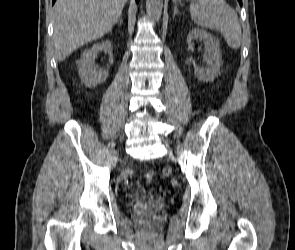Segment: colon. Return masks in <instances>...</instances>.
<instances>
[{"mask_svg":"<svg viewBox=\"0 0 295 250\" xmlns=\"http://www.w3.org/2000/svg\"><path fill=\"white\" fill-rule=\"evenodd\" d=\"M155 173L152 170H149L145 175V180L147 183H151L154 180Z\"/></svg>","mask_w":295,"mask_h":250,"instance_id":"colon-1","label":"colon"}]
</instances>
